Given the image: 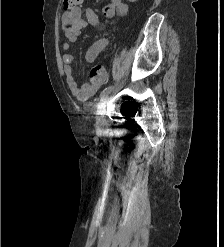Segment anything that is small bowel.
<instances>
[{"label":"small bowel","mask_w":224,"mask_h":247,"mask_svg":"<svg viewBox=\"0 0 224 247\" xmlns=\"http://www.w3.org/2000/svg\"><path fill=\"white\" fill-rule=\"evenodd\" d=\"M103 13L107 18L114 16L124 17L128 13V6L123 0H109L104 6ZM61 24L64 32V39L62 42L63 51L67 52L70 49L77 36L88 26L102 27V24L97 14L91 8L82 9L80 6L72 10L65 11L61 17ZM108 44V39L102 37L93 43L85 53V60L89 63L94 62L102 53ZM73 56L70 53L63 55V72L66 76L67 86L72 93L79 100H87L98 90L100 83H84L81 86L77 84L72 74L71 62Z\"/></svg>","instance_id":"c3829d8e"}]
</instances>
